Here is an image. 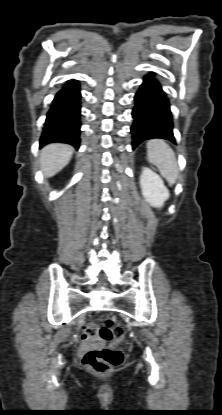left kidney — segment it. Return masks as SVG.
<instances>
[{"instance_id": "1", "label": "left kidney", "mask_w": 222, "mask_h": 415, "mask_svg": "<svg viewBox=\"0 0 222 415\" xmlns=\"http://www.w3.org/2000/svg\"><path fill=\"white\" fill-rule=\"evenodd\" d=\"M143 197L152 207L161 208L169 198V191L161 177L149 168H143L140 177Z\"/></svg>"}]
</instances>
